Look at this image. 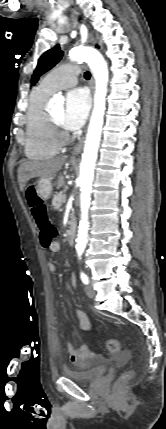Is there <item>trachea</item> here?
Masks as SVG:
<instances>
[{
    "label": "trachea",
    "instance_id": "3493384b",
    "mask_svg": "<svg viewBox=\"0 0 166 429\" xmlns=\"http://www.w3.org/2000/svg\"><path fill=\"white\" fill-rule=\"evenodd\" d=\"M90 76H91V74H90V72H85V74H84V77L86 78V79H89L90 78Z\"/></svg>",
    "mask_w": 166,
    "mask_h": 429
}]
</instances>
